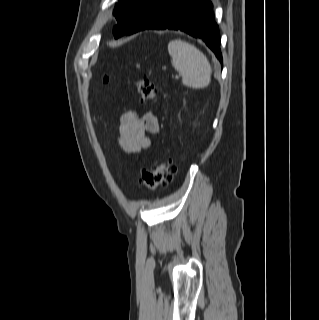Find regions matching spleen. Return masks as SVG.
Here are the masks:
<instances>
[{"instance_id": "3e777b00", "label": "spleen", "mask_w": 319, "mask_h": 320, "mask_svg": "<svg viewBox=\"0 0 319 320\" xmlns=\"http://www.w3.org/2000/svg\"><path fill=\"white\" fill-rule=\"evenodd\" d=\"M168 52L173 67L182 74L184 85L200 89L211 81V66L204 54L195 46L175 39L169 42Z\"/></svg>"}]
</instances>
